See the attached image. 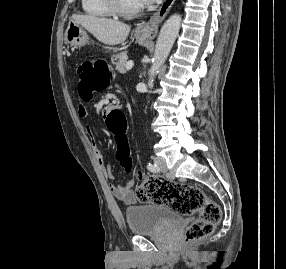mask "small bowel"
Instances as JSON below:
<instances>
[{"mask_svg":"<svg viewBox=\"0 0 286 269\" xmlns=\"http://www.w3.org/2000/svg\"><path fill=\"white\" fill-rule=\"evenodd\" d=\"M107 116H110V108H103V111H100L99 119L106 120ZM78 117L84 122L85 131L90 137L94 155H95V158H96V161L99 167L101 168L105 178L108 181H111L112 180L111 169L105 166L104 158L100 150L97 147L93 130L91 126L85 122L88 117V110L84 102H80L78 105ZM116 158L119 161V158L117 155H116ZM131 183H132V179H127L123 186H116V185L110 184V190L112 194L114 195V197L120 200L121 202L125 204H132L135 202L136 196L134 192L129 188Z\"/></svg>","mask_w":286,"mask_h":269,"instance_id":"small-bowel-1","label":"small bowel"}]
</instances>
